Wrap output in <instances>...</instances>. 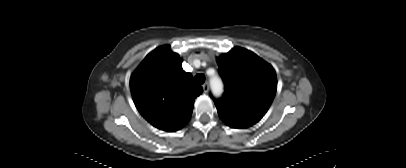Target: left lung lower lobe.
<instances>
[{"instance_id":"1","label":"left lung lower lobe","mask_w":406,"mask_h":168,"mask_svg":"<svg viewBox=\"0 0 406 168\" xmlns=\"http://www.w3.org/2000/svg\"><path fill=\"white\" fill-rule=\"evenodd\" d=\"M220 118L223 120V122H225L228 126L232 127V128H247L252 126V123L243 121V120H237V119H233V118H228V117H224V116H220Z\"/></svg>"}]
</instances>
